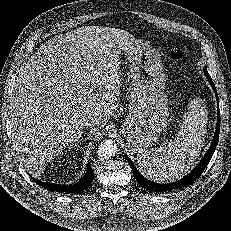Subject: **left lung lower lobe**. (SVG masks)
I'll list each match as a JSON object with an SVG mask.
<instances>
[{
	"label": "left lung lower lobe",
	"mask_w": 231,
	"mask_h": 231,
	"mask_svg": "<svg viewBox=\"0 0 231 231\" xmlns=\"http://www.w3.org/2000/svg\"><path fill=\"white\" fill-rule=\"evenodd\" d=\"M205 76L208 78L209 83L211 84L216 98H217V124H216V131H215V135H214V139L212 141V144L210 146V148L208 149L207 153L205 154V156L202 158V160L200 161V163L194 168V170H192L186 177L182 178L181 180H178L176 182L173 183H168V184H158V183H154L146 178H144L140 172L137 170V168L135 167V165L132 163L131 159L126 156V159L128 161V163L130 164L132 170H133V174L135 176V179L137 180V182L145 189L149 190V191H153V192H166V191H171V190H175V189H179L182 187H186L191 185L197 178L200 177V175L202 174V172L204 171V169L206 168V166L208 165V163L210 162L215 148L217 146V142H218V138H219V131H220V112H219V100H218V95H217V91L215 89V85L209 75V73L207 71H204Z\"/></svg>",
	"instance_id": "1"
}]
</instances>
